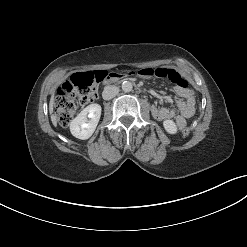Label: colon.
I'll return each instance as SVG.
<instances>
[{
    "label": "colon",
    "mask_w": 247,
    "mask_h": 247,
    "mask_svg": "<svg viewBox=\"0 0 247 247\" xmlns=\"http://www.w3.org/2000/svg\"><path fill=\"white\" fill-rule=\"evenodd\" d=\"M109 77L106 71L81 72L69 77L58 89L55 115L62 126H67L79 106L93 102L97 98L98 85ZM190 127L183 126L181 135L189 136Z\"/></svg>",
    "instance_id": "obj_1"
}]
</instances>
